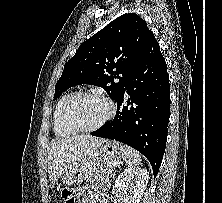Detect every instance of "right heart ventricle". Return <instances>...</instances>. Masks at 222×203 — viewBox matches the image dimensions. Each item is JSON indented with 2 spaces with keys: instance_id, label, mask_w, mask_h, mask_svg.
Here are the masks:
<instances>
[{
  "instance_id": "obj_1",
  "label": "right heart ventricle",
  "mask_w": 222,
  "mask_h": 203,
  "mask_svg": "<svg viewBox=\"0 0 222 203\" xmlns=\"http://www.w3.org/2000/svg\"><path fill=\"white\" fill-rule=\"evenodd\" d=\"M73 94H74L73 92H70L63 95L55 106L54 113H53V131H54V134L58 137H66L74 133V131L66 128L62 122L63 108L66 102L69 100V98Z\"/></svg>"
}]
</instances>
